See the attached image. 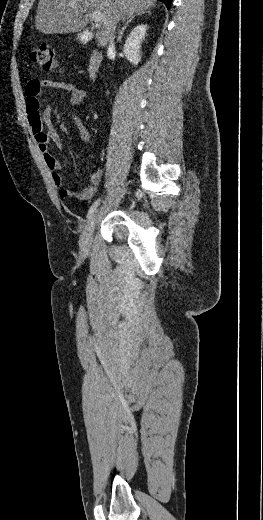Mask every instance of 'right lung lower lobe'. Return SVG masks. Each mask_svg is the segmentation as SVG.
Returning a JSON list of instances; mask_svg holds the SVG:
<instances>
[{
	"label": "right lung lower lobe",
	"instance_id": "1",
	"mask_svg": "<svg viewBox=\"0 0 263 520\" xmlns=\"http://www.w3.org/2000/svg\"><path fill=\"white\" fill-rule=\"evenodd\" d=\"M160 1L164 2L168 9L170 8L172 0H160Z\"/></svg>",
	"mask_w": 263,
	"mask_h": 520
}]
</instances>
